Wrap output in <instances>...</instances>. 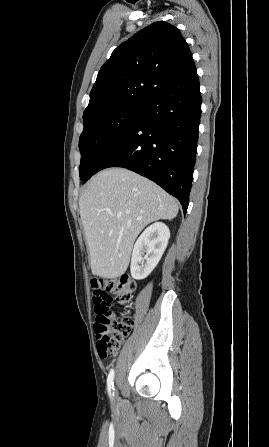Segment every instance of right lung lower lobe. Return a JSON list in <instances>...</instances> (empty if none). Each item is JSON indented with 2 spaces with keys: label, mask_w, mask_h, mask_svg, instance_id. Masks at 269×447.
Instances as JSON below:
<instances>
[{
  "label": "right lung lower lobe",
  "mask_w": 269,
  "mask_h": 447,
  "mask_svg": "<svg viewBox=\"0 0 269 447\" xmlns=\"http://www.w3.org/2000/svg\"><path fill=\"white\" fill-rule=\"evenodd\" d=\"M142 104L139 121L102 154L89 176L104 168H127L175 196L185 214L201 117L195 64Z\"/></svg>",
  "instance_id": "98d812e1"
}]
</instances>
